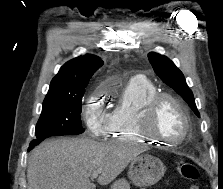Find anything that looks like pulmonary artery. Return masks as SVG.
Masks as SVG:
<instances>
[{
    "instance_id": "1",
    "label": "pulmonary artery",
    "mask_w": 223,
    "mask_h": 189,
    "mask_svg": "<svg viewBox=\"0 0 223 189\" xmlns=\"http://www.w3.org/2000/svg\"><path fill=\"white\" fill-rule=\"evenodd\" d=\"M142 77L140 75H137L134 77V79H141Z\"/></svg>"
}]
</instances>
